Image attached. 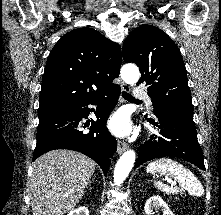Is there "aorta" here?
<instances>
[{
  "label": "aorta",
  "instance_id": "obj_1",
  "mask_svg": "<svg viewBox=\"0 0 221 215\" xmlns=\"http://www.w3.org/2000/svg\"><path fill=\"white\" fill-rule=\"evenodd\" d=\"M121 77L127 84H136L140 77L138 67L134 64L124 65L121 69ZM135 159L136 154L133 150H127L119 158L113 175L116 186H120L124 182L135 163Z\"/></svg>",
  "mask_w": 221,
  "mask_h": 215
}]
</instances>
